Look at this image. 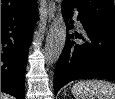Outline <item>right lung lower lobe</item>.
<instances>
[{
	"mask_svg": "<svg viewBox=\"0 0 115 99\" xmlns=\"http://www.w3.org/2000/svg\"><path fill=\"white\" fill-rule=\"evenodd\" d=\"M37 20V3L1 13V92L25 99L24 76Z\"/></svg>",
	"mask_w": 115,
	"mask_h": 99,
	"instance_id": "obj_1",
	"label": "right lung lower lobe"
}]
</instances>
